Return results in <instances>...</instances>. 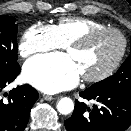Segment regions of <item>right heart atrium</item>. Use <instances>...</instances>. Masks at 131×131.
I'll return each instance as SVG.
<instances>
[{
  "instance_id": "obj_1",
  "label": "right heart atrium",
  "mask_w": 131,
  "mask_h": 131,
  "mask_svg": "<svg viewBox=\"0 0 131 131\" xmlns=\"http://www.w3.org/2000/svg\"><path fill=\"white\" fill-rule=\"evenodd\" d=\"M60 43L54 26L36 23L26 29L20 40L18 50L22 57L58 49Z\"/></svg>"
}]
</instances>
